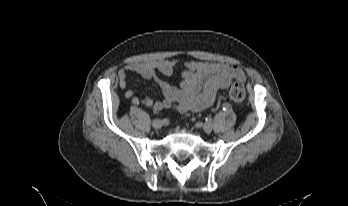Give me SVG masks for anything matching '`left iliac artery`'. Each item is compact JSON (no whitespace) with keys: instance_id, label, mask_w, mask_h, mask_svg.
<instances>
[{"instance_id":"1","label":"left iliac artery","mask_w":348,"mask_h":206,"mask_svg":"<svg viewBox=\"0 0 348 206\" xmlns=\"http://www.w3.org/2000/svg\"><path fill=\"white\" fill-rule=\"evenodd\" d=\"M230 108H231V105L229 103H224V105H223V110L224 111H229Z\"/></svg>"}]
</instances>
